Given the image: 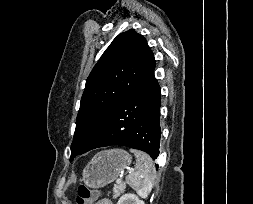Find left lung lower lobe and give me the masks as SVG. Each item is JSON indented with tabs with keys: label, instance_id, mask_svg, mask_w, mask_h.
<instances>
[{
	"label": "left lung lower lobe",
	"instance_id": "1",
	"mask_svg": "<svg viewBox=\"0 0 253 204\" xmlns=\"http://www.w3.org/2000/svg\"><path fill=\"white\" fill-rule=\"evenodd\" d=\"M154 69L155 59L141 82L95 130L80 154L99 147L122 145L142 150L154 160L158 157L161 89Z\"/></svg>",
	"mask_w": 253,
	"mask_h": 204
}]
</instances>
